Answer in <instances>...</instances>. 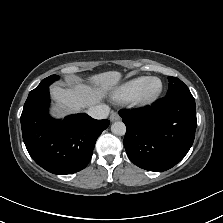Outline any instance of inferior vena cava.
Masks as SVG:
<instances>
[{"mask_svg":"<svg viewBox=\"0 0 223 223\" xmlns=\"http://www.w3.org/2000/svg\"><path fill=\"white\" fill-rule=\"evenodd\" d=\"M110 110L108 104H100L88 109L87 114L96 119L106 118Z\"/></svg>","mask_w":223,"mask_h":223,"instance_id":"1","label":"inferior vena cava"}]
</instances>
